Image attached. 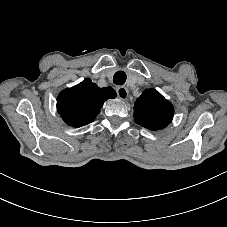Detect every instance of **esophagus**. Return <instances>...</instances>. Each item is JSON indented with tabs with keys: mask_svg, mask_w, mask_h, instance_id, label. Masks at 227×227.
<instances>
[{
	"mask_svg": "<svg viewBox=\"0 0 227 227\" xmlns=\"http://www.w3.org/2000/svg\"><path fill=\"white\" fill-rule=\"evenodd\" d=\"M116 92L121 100H126L128 98L129 93L126 87L123 86L116 87Z\"/></svg>",
	"mask_w": 227,
	"mask_h": 227,
	"instance_id": "34e87169",
	"label": "esophagus"
}]
</instances>
